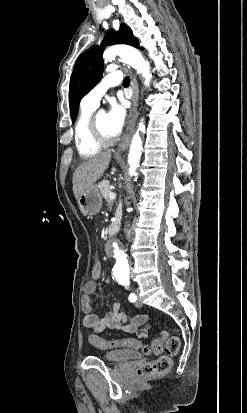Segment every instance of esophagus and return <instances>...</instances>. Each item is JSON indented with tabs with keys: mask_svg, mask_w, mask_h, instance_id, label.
Listing matches in <instances>:
<instances>
[{
	"mask_svg": "<svg viewBox=\"0 0 247 413\" xmlns=\"http://www.w3.org/2000/svg\"><path fill=\"white\" fill-rule=\"evenodd\" d=\"M132 84L134 87V95L131 100L129 123L126 129L125 135L123 136L121 143L118 145V152H123V150H125V148L129 145L131 137L134 133L135 124H136V120L138 117L137 110H138V103H139V86H138V82L135 76H132Z\"/></svg>",
	"mask_w": 247,
	"mask_h": 413,
	"instance_id": "obj_1",
	"label": "esophagus"
}]
</instances>
